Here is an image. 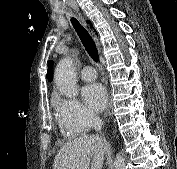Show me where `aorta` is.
Returning <instances> with one entry per match:
<instances>
[{"label":"aorta","mask_w":177,"mask_h":169,"mask_svg":"<svg viewBox=\"0 0 177 169\" xmlns=\"http://www.w3.org/2000/svg\"><path fill=\"white\" fill-rule=\"evenodd\" d=\"M54 82L58 91L67 98H74L78 94L74 62L71 57L59 61L54 73ZM114 169H127L125 157L122 153L116 155Z\"/></svg>","instance_id":"1"}]
</instances>
